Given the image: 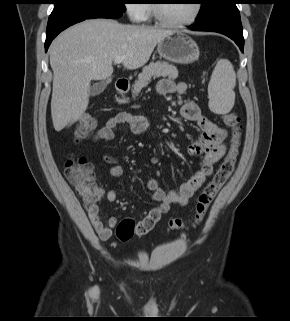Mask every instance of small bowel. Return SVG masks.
<instances>
[{"instance_id": "c3829d8e", "label": "small bowel", "mask_w": 290, "mask_h": 321, "mask_svg": "<svg viewBox=\"0 0 290 321\" xmlns=\"http://www.w3.org/2000/svg\"><path fill=\"white\" fill-rule=\"evenodd\" d=\"M157 91L161 95H183L187 91V85L184 82L175 83L171 79H163L159 82ZM181 114L186 120L194 122L200 133L197 140L188 148L190 155L199 158L200 168L194 176L182 183L177 189L169 191H164L159 186V181L156 177L148 179L147 187L157 205L136 224L137 234L139 235L149 232L161 217L169 211L171 205H186L196 190L204 185L207 178L212 174L214 164L225 152L227 131L206 118L195 101H186L182 105ZM121 124L127 125L136 135H143L149 128V122L143 115L121 112L106 120L103 127L93 135V141H111L114 138V129ZM104 160L107 163L114 164L109 171L110 177L112 179L120 178L123 174V169L115 164L116 159L111 156H104ZM103 195L104 192L101 189V196ZM118 196V190L115 187L105 194L106 199L110 202L117 201ZM86 211L100 239L108 240L116 227V219L110 218L107 223L103 222L100 218L97 204L86 208Z\"/></svg>"}]
</instances>
